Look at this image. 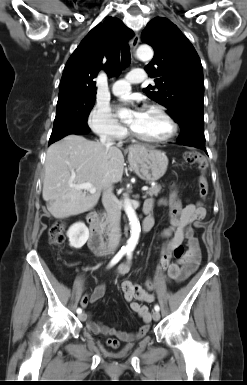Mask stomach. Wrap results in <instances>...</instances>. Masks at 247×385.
<instances>
[{
    "label": "stomach",
    "instance_id": "stomach-1",
    "mask_svg": "<svg viewBox=\"0 0 247 385\" xmlns=\"http://www.w3.org/2000/svg\"><path fill=\"white\" fill-rule=\"evenodd\" d=\"M128 161L135 174L146 182L160 179L168 166V158L164 152L140 145L130 148Z\"/></svg>",
    "mask_w": 247,
    "mask_h": 385
}]
</instances>
